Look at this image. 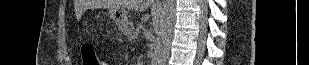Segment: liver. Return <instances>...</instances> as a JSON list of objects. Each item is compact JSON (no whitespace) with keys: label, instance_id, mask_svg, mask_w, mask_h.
<instances>
[{"label":"liver","instance_id":"1","mask_svg":"<svg viewBox=\"0 0 309 65\" xmlns=\"http://www.w3.org/2000/svg\"><path fill=\"white\" fill-rule=\"evenodd\" d=\"M104 6L110 8H128L132 10L139 9L140 11H144L150 5L149 0H110L108 2L103 3Z\"/></svg>","mask_w":309,"mask_h":65}]
</instances>
